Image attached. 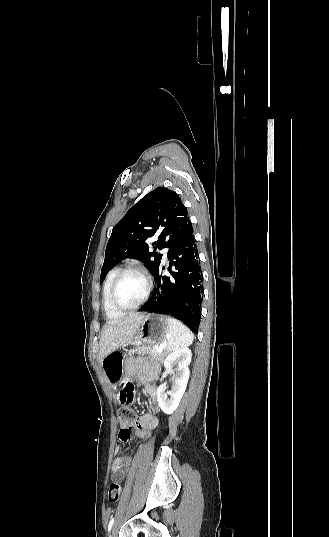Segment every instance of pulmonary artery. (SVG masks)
I'll list each match as a JSON object with an SVG mask.
<instances>
[{
	"label": "pulmonary artery",
	"mask_w": 329,
	"mask_h": 537,
	"mask_svg": "<svg viewBox=\"0 0 329 537\" xmlns=\"http://www.w3.org/2000/svg\"><path fill=\"white\" fill-rule=\"evenodd\" d=\"M168 252V249H164V253L166 254Z\"/></svg>",
	"instance_id": "pulmonary-artery-1"
}]
</instances>
